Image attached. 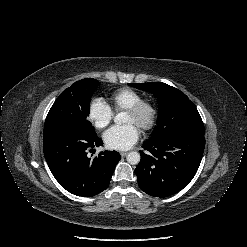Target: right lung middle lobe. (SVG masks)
<instances>
[{"mask_svg":"<svg viewBox=\"0 0 247 247\" xmlns=\"http://www.w3.org/2000/svg\"><path fill=\"white\" fill-rule=\"evenodd\" d=\"M98 86L99 82L96 79L86 78L64 90L51 107L44 128L70 125L79 127L87 133L96 134L87 117L91 97Z\"/></svg>","mask_w":247,"mask_h":247,"instance_id":"obj_1","label":"right lung middle lobe"}]
</instances>
